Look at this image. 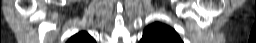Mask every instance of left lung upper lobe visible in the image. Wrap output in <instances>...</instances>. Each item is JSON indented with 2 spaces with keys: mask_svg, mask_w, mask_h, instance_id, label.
<instances>
[{
  "mask_svg": "<svg viewBox=\"0 0 256 43\" xmlns=\"http://www.w3.org/2000/svg\"><path fill=\"white\" fill-rule=\"evenodd\" d=\"M140 43H183L174 29L156 22L149 25L143 33Z\"/></svg>",
  "mask_w": 256,
  "mask_h": 43,
  "instance_id": "5c2ea615",
  "label": "left lung upper lobe"
}]
</instances>
